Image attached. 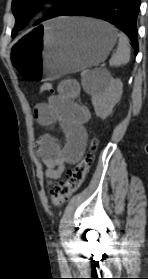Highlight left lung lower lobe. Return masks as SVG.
Instances as JSON below:
<instances>
[{"label": "left lung lower lobe", "mask_w": 148, "mask_h": 279, "mask_svg": "<svg viewBox=\"0 0 148 279\" xmlns=\"http://www.w3.org/2000/svg\"><path fill=\"white\" fill-rule=\"evenodd\" d=\"M140 0H75L58 16H89L108 21L121 29L138 53L137 16Z\"/></svg>", "instance_id": "left-lung-lower-lobe-1"}]
</instances>
